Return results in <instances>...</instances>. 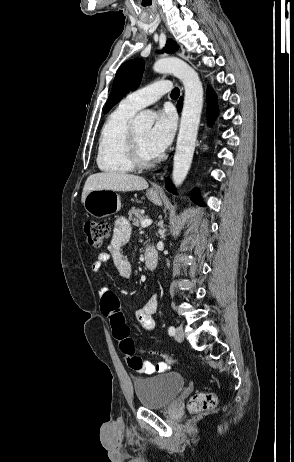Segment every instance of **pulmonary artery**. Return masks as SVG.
I'll list each match as a JSON object with an SVG mask.
<instances>
[{
    "mask_svg": "<svg viewBox=\"0 0 294 462\" xmlns=\"http://www.w3.org/2000/svg\"><path fill=\"white\" fill-rule=\"evenodd\" d=\"M170 90L171 84L168 80H159L128 94L121 103L130 109L138 111L153 104Z\"/></svg>",
    "mask_w": 294,
    "mask_h": 462,
    "instance_id": "1",
    "label": "pulmonary artery"
}]
</instances>
